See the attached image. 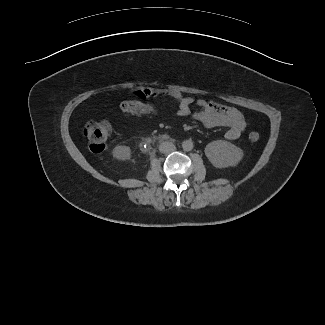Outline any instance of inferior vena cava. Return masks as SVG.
Here are the masks:
<instances>
[{
    "mask_svg": "<svg viewBox=\"0 0 325 325\" xmlns=\"http://www.w3.org/2000/svg\"><path fill=\"white\" fill-rule=\"evenodd\" d=\"M161 153H170L175 150V145L172 142H163L159 146Z\"/></svg>",
    "mask_w": 325,
    "mask_h": 325,
    "instance_id": "602c4592",
    "label": "inferior vena cava"
}]
</instances>
